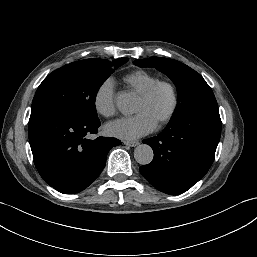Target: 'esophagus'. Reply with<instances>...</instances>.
Listing matches in <instances>:
<instances>
[{
	"label": "esophagus",
	"instance_id": "34e87169",
	"mask_svg": "<svg viewBox=\"0 0 257 257\" xmlns=\"http://www.w3.org/2000/svg\"><path fill=\"white\" fill-rule=\"evenodd\" d=\"M123 144L127 145L129 147H135L139 144V142L138 141H123Z\"/></svg>",
	"mask_w": 257,
	"mask_h": 257
}]
</instances>
